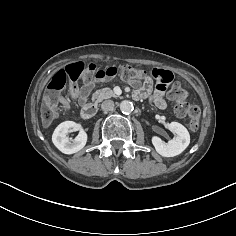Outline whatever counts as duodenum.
Segmentation results:
<instances>
[{"label": "duodenum", "instance_id": "410a0bca", "mask_svg": "<svg viewBox=\"0 0 236 236\" xmlns=\"http://www.w3.org/2000/svg\"><path fill=\"white\" fill-rule=\"evenodd\" d=\"M97 113V108L94 104H85L81 110V116L85 120L92 119Z\"/></svg>", "mask_w": 236, "mask_h": 236}]
</instances>
